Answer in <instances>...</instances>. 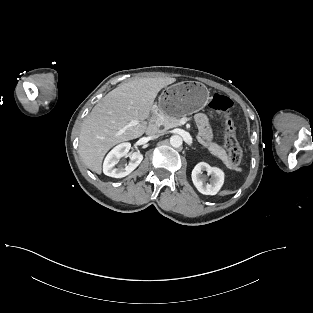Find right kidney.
<instances>
[{
    "mask_svg": "<svg viewBox=\"0 0 313 313\" xmlns=\"http://www.w3.org/2000/svg\"><path fill=\"white\" fill-rule=\"evenodd\" d=\"M130 143H121L113 148L106 156L103 164V172L105 175L114 178H123L129 175L143 160V155L140 152L130 154V162L126 165H118L117 161L127 155L130 150Z\"/></svg>",
    "mask_w": 313,
    "mask_h": 313,
    "instance_id": "obj_1",
    "label": "right kidney"
}]
</instances>
